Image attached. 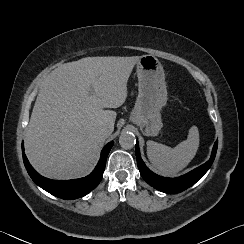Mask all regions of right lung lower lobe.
<instances>
[{
  "label": "right lung lower lobe",
  "instance_id": "obj_1",
  "mask_svg": "<svg viewBox=\"0 0 244 244\" xmlns=\"http://www.w3.org/2000/svg\"><path fill=\"white\" fill-rule=\"evenodd\" d=\"M113 144L114 142L111 141L103 148L100 160L93 172L88 176L80 179L58 181L41 176L33 169L29 161L27 160L26 155L24 154V147L22 144L23 161L27 172L32 180L42 189L46 190L56 197L65 200L76 199L85 196L100 183L103 177V172L105 170L107 156Z\"/></svg>",
  "mask_w": 244,
  "mask_h": 244
}]
</instances>
